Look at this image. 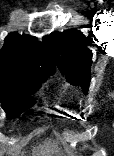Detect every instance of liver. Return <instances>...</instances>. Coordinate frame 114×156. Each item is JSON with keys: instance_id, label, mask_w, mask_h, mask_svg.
<instances>
[{"instance_id": "obj_1", "label": "liver", "mask_w": 114, "mask_h": 156, "mask_svg": "<svg viewBox=\"0 0 114 156\" xmlns=\"http://www.w3.org/2000/svg\"><path fill=\"white\" fill-rule=\"evenodd\" d=\"M58 148L49 141L33 150L32 156H57ZM23 156V155H22Z\"/></svg>"}]
</instances>
